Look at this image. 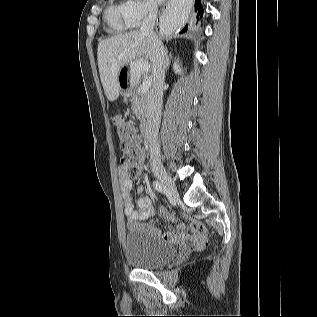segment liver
I'll return each instance as SVG.
<instances>
[{"label": "liver", "mask_w": 317, "mask_h": 317, "mask_svg": "<svg viewBox=\"0 0 317 317\" xmlns=\"http://www.w3.org/2000/svg\"><path fill=\"white\" fill-rule=\"evenodd\" d=\"M145 57V59H143ZM97 60L101 83L109 101H115L120 93L118 74L131 62L145 63L141 72L148 71L152 65V44L140 31L116 35L98 44ZM150 61V63H148Z\"/></svg>", "instance_id": "liver-1"}]
</instances>
